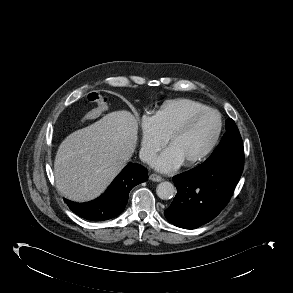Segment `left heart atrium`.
Instances as JSON below:
<instances>
[{"mask_svg": "<svg viewBox=\"0 0 293 293\" xmlns=\"http://www.w3.org/2000/svg\"><path fill=\"white\" fill-rule=\"evenodd\" d=\"M182 163L174 150L168 147L153 160L152 165L159 171L169 172L177 169Z\"/></svg>", "mask_w": 293, "mask_h": 293, "instance_id": "39dd6f15", "label": "left heart atrium"}]
</instances>
